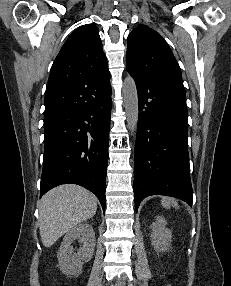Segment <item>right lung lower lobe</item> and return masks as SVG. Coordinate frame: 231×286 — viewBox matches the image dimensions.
<instances>
[{
	"label": "right lung lower lobe",
	"mask_w": 231,
	"mask_h": 286,
	"mask_svg": "<svg viewBox=\"0 0 231 286\" xmlns=\"http://www.w3.org/2000/svg\"><path fill=\"white\" fill-rule=\"evenodd\" d=\"M46 108L42 196L65 183L93 192L105 210L111 112L110 73L78 84Z\"/></svg>",
	"instance_id": "right-lung-lower-lobe-1"
}]
</instances>
